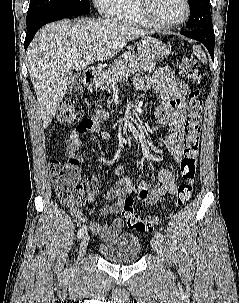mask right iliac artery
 I'll list each match as a JSON object with an SVG mask.
<instances>
[{
    "mask_svg": "<svg viewBox=\"0 0 239 303\" xmlns=\"http://www.w3.org/2000/svg\"><path fill=\"white\" fill-rule=\"evenodd\" d=\"M87 232V227L85 225H83L79 230H78V233H77V237L78 239H80L82 236H84V234H86Z\"/></svg>",
    "mask_w": 239,
    "mask_h": 303,
    "instance_id": "right-iliac-artery-1",
    "label": "right iliac artery"
}]
</instances>
